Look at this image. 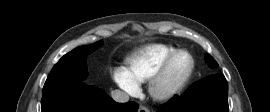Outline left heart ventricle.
Listing matches in <instances>:
<instances>
[{
  "instance_id": "obj_1",
  "label": "left heart ventricle",
  "mask_w": 270,
  "mask_h": 112,
  "mask_svg": "<svg viewBox=\"0 0 270 112\" xmlns=\"http://www.w3.org/2000/svg\"><path fill=\"white\" fill-rule=\"evenodd\" d=\"M190 67L189 56L185 53L178 54L171 62L161 84V89H169L174 86Z\"/></svg>"
}]
</instances>
